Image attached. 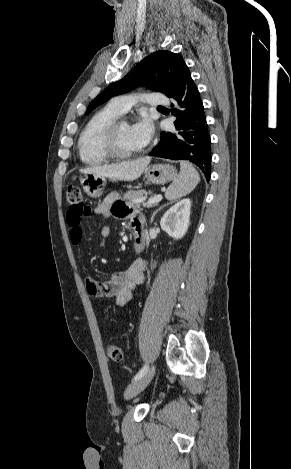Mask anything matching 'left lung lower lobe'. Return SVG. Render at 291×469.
<instances>
[{
	"instance_id": "1",
	"label": "left lung lower lobe",
	"mask_w": 291,
	"mask_h": 469,
	"mask_svg": "<svg viewBox=\"0 0 291 469\" xmlns=\"http://www.w3.org/2000/svg\"><path fill=\"white\" fill-rule=\"evenodd\" d=\"M175 100L171 113L176 116L174 132H162L159 144L150 156L172 160H188L196 164L210 179L211 139L203 103L189 70L168 96Z\"/></svg>"
}]
</instances>
